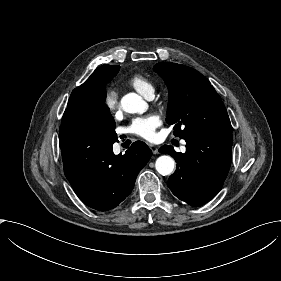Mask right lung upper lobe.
<instances>
[{
  "mask_svg": "<svg viewBox=\"0 0 281 281\" xmlns=\"http://www.w3.org/2000/svg\"><path fill=\"white\" fill-rule=\"evenodd\" d=\"M120 66L102 65L97 68L88 80L73 90V93L87 89H93L92 99L97 101H105L106 83L109 82L119 71Z\"/></svg>",
  "mask_w": 281,
  "mask_h": 281,
  "instance_id": "cb5924a9",
  "label": "right lung upper lobe"
}]
</instances>
